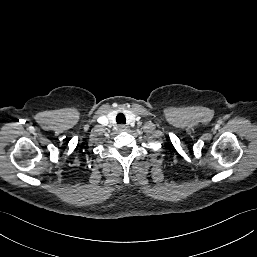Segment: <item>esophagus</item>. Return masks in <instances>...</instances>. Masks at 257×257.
<instances>
[{"mask_svg": "<svg viewBox=\"0 0 257 257\" xmlns=\"http://www.w3.org/2000/svg\"><path fill=\"white\" fill-rule=\"evenodd\" d=\"M119 130L120 131H126L127 130V126L121 124V125H119Z\"/></svg>", "mask_w": 257, "mask_h": 257, "instance_id": "esophagus-1", "label": "esophagus"}]
</instances>
